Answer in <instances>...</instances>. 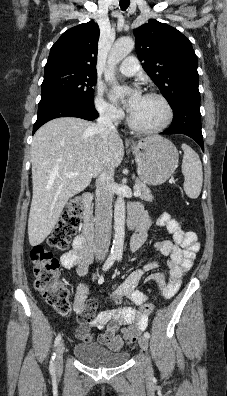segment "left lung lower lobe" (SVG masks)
Wrapping results in <instances>:
<instances>
[{"instance_id": "obj_1", "label": "left lung lower lobe", "mask_w": 227, "mask_h": 396, "mask_svg": "<svg viewBox=\"0 0 227 396\" xmlns=\"http://www.w3.org/2000/svg\"><path fill=\"white\" fill-rule=\"evenodd\" d=\"M174 118L171 126L160 134H185L194 139L204 151L201 132L200 96H186L173 106Z\"/></svg>"}]
</instances>
